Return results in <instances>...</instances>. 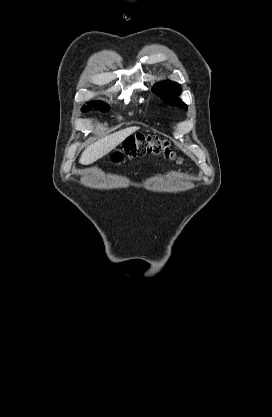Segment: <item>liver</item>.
<instances>
[{"instance_id":"obj_1","label":"liver","mask_w":272,"mask_h":417,"mask_svg":"<svg viewBox=\"0 0 272 417\" xmlns=\"http://www.w3.org/2000/svg\"><path fill=\"white\" fill-rule=\"evenodd\" d=\"M138 129L139 127L136 126L128 127L99 139L82 152L79 162L88 165L97 161L112 151Z\"/></svg>"}]
</instances>
